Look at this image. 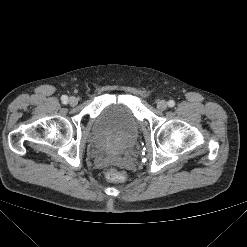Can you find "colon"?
<instances>
[{"label":"colon","mask_w":247,"mask_h":247,"mask_svg":"<svg viewBox=\"0 0 247 247\" xmlns=\"http://www.w3.org/2000/svg\"><path fill=\"white\" fill-rule=\"evenodd\" d=\"M105 177L109 181L113 182H125L126 181V176L124 173L118 171L117 169L110 168L105 171Z\"/></svg>","instance_id":"5ec220e1"}]
</instances>
